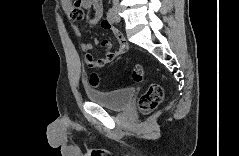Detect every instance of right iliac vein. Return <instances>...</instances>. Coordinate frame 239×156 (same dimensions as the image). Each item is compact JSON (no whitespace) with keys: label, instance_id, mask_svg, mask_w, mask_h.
<instances>
[{"label":"right iliac vein","instance_id":"1","mask_svg":"<svg viewBox=\"0 0 239 156\" xmlns=\"http://www.w3.org/2000/svg\"><path fill=\"white\" fill-rule=\"evenodd\" d=\"M117 11H118V10H117V9H115V14L117 13Z\"/></svg>","mask_w":239,"mask_h":156}]
</instances>
